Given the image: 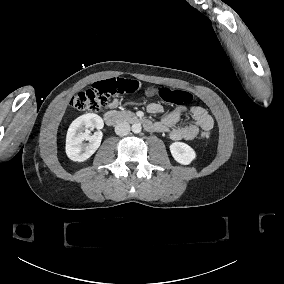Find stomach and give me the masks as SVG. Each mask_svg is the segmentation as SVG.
Returning <instances> with one entry per match:
<instances>
[{
	"label": "stomach",
	"mask_w": 284,
	"mask_h": 284,
	"mask_svg": "<svg viewBox=\"0 0 284 284\" xmlns=\"http://www.w3.org/2000/svg\"><path fill=\"white\" fill-rule=\"evenodd\" d=\"M156 93H157V89H155V88H148L145 91V94L149 97L154 96Z\"/></svg>",
	"instance_id": "0dacf381"
}]
</instances>
